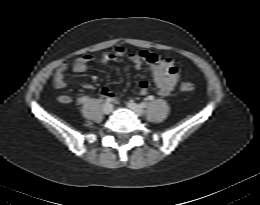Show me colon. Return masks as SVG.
Listing matches in <instances>:
<instances>
[{
	"instance_id": "5ec220e1",
	"label": "colon",
	"mask_w": 260,
	"mask_h": 205,
	"mask_svg": "<svg viewBox=\"0 0 260 205\" xmlns=\"http://www.w3.org/2000/svg\"><path fill=\"white\" fill-rule=\"evenodd\" d=\"M179 89L183 92H192L194 90V85L191 82H181L179 85Z\"/></svg>"
}]
</instances>
